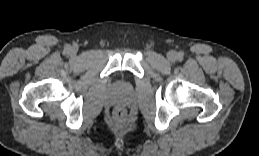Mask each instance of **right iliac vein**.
Listing matches in <instances>:
<instances>
[{
	"instance_id": "right-iliac-vein-1",
	"label": "right iliac vein",
	"mask_w": 259,
	"mask_h": 156,
	"mask_svg": "<svg viewBox=\"0 0 259 156\" xmlns=\"http://www.w3.org/2000/svg\"><path fill=\"white\" fill-rule=\"evenodd\" d=\"M71 54H75V50L74 49L71 50Z\"/></svg>"
}]
</instances>
